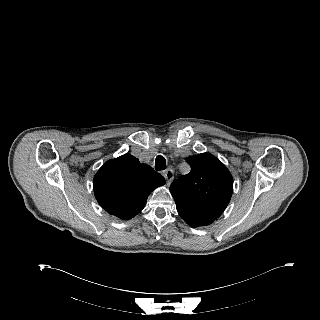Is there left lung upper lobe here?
<instances>
[{"label":"left lung upper lobe","instance_id":"left-lung-upper-lobe-1","mask_svg":"<svg viewBox=\"0 0 320 320\" xmlns=\"http://www.w3.org/2000/svg\"><path fill=\"white\" fill-rule=\"evenodd\" d=\"M191 171L173 181L170 192L176 204L219 217L227 207L233 179L228 169L212 154L187 158Z\"/></svg>","mask_w":320,"mask_h":320}]
</instances>
